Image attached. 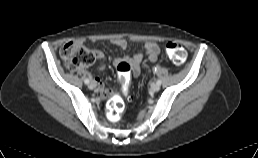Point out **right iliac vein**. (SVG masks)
I'll use <instances>...</instances> for the list:
<instances>
[{
    "label": "right iliac vein",
    "instance_id": "obj_1",
    "mask_svg": "<svg viewBox=\"0 0 258 158\" xmlns=\"http://www.w3.org/2000/svg\"><path fill=\"white\" fill-rule=\"evenodd\" d=\"M88 88H89V89H94V88H95V82H94V81L90 82V83L88 84Z\"/></svg>",
    "mask_w": 258,
    "mask_h": 158
}]
</instances>
